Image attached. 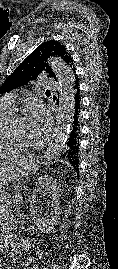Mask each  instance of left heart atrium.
Instances as JSON below:
<instances>
[{
	"instance_id": "left-heart-atrium-1",
	"label": "left heart atrium",
	"mask_w": 118,
	"mask_h": 269,
	"mask_svg": "<svg viewBox=\"0 0 118 269\" xmlns=\"http://www.w3.org/2000/svg\"><path fill=\"white\" fill-rule=\"evenodd\" d=\"M25 120L29 134L33 138H40L45 135L50 128V114L46 107L37 101H32L27 105Z\"/></svg>"
}]
</instances>
